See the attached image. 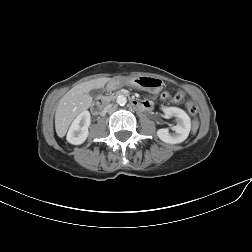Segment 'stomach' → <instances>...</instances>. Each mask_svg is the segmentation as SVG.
<instances>
[{"instance_id":"1","label":"stomach","mask_w":252,"mask_h":252,"mask_svg":"<svg viewBox=\"0 0 252 252\" xmlns=\"http://www.w3.org/2000/svg\"><path fill=\"white\" fill-rule=\"evenodd\" d=\"M113 84H130L141 90L148 91L149 93L156 94L162 88V81L160 78L149 76V75H140L130 78H114L112 80Z\"/></svg>"}]
</instances>
